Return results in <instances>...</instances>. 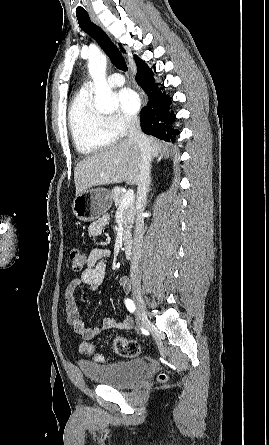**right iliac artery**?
<instances>
[{"mask_svg": "<svg viewBox=\"0 0 269 445\" xmlns=\"http://www.w3.org/2000/svg\"><path fill=\"white\" fill-rule=\"evenodd\" d=\"M125 304L127 309L129 310V312L134 313L135 312V304L133 303V301L131 299H126L125 300Z\"/></svg>", "mask_w": 269, "mask_h": 445, "instance_id": "1", "label": "right iliac artery"}]
</instances>
